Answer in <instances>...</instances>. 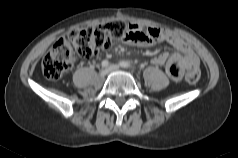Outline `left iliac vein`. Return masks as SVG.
Returning <instances> with one entry per match:
<instances>
[{
    "instance_id": "4c4485c4",
    "label": "left iliac vein",
    "mask_w": 238,
    "mask_h": 158,
    "mask_svg": "<svg viewBox=\"0 0 238 158\" xmlns=\"http://www.w3.org/2000/svg\"><path fill=\"white\" fill-rule=\"evenodd\" d=\"M119 69L120 67L118 65L112 64L108 67V72L118 71Z\"/></svg>"
}]
</instances>
